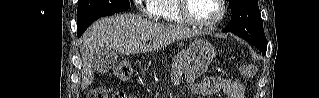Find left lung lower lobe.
<instances>
[{
  "instance_id": "0a47b994",
  "label": "left lung lower lobe",
  "mask_w": 319,
  "mask_h": 98,
  "mask_svg": "<svg viewBox=\"0 0 319 98\" xmlns=\"http://www.w3.org/2000/svg\"><path fill=\"white\" fill-rule=\"evenodd\" d=\"M223 31H224V30H223ZM257 48L260 50V52H262L263 55L266 54V48H267V47H257Z\"/></svg>"
}]
</instances>
